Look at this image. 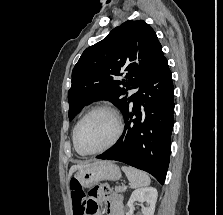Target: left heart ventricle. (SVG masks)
I'll use <instances>...</instances> for the list:
<instances>
[{"label":"left heart ventricle","mask_w":223,"mask_h":215,"mask_svg":"<svg viewBox=\"0 0 223 215\" xmlns=\"http://www.w3.org/2000/svg\"><path fill=\"white\" fill-rule=\"evenodd\" d=\"M115 130V122L109 114L94 113L80 125L77 146L82 152L98 151L111 141Z\"/></svg>","instance_id":"obj_1"}]
</instances>
